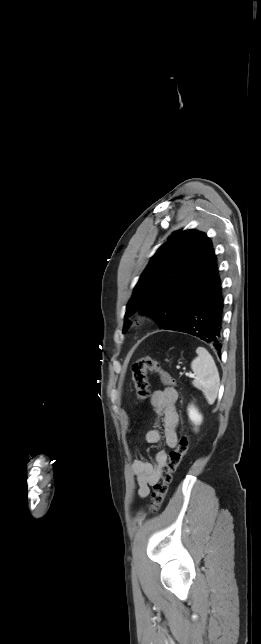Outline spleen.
Listing matches in <instances>:
<instances>
[{
    "instance_id": "1",
    "label": "spleen",
    "mask_w": 261,
    "mask_h": 644,
    "mask_svg": "<svg viewBox=\"0 0 261 644\" xmlns=\"http://www.w3.org/2000/svg\"><path fill=\"white\" fill-rule=\"evenodd\" d=\"M196 353L198 356L191 363V369L196 375L192 384L203 392L209 404H213L220 385L219 373L212 356L205 348L198 347Z\"/></svg>"
}]
</instances>
